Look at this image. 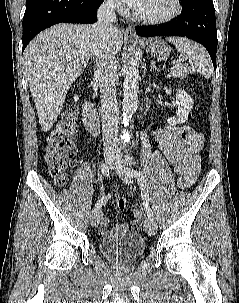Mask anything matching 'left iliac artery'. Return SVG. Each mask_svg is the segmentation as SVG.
Instances as JSON below:
<instances>
[{"mask_svg": "<svg viewBox=\"0 0 239 303\" xmlns=\"http://www.w3.org/2000/svg\"><path fill=\"white\" fill-rule=\"evenodd\" d=\"M134 176L138 180L139 185H140L141 196H142L144 209L147 213V216L150 219H154L153 212L149 205V187H148L147 181L141 172L134 170Z\"/></svg>", "mask_w": 239, "mask_h": 303, "instance_id": "obj_1", "label": "left iliac artery"}]
</instances>
